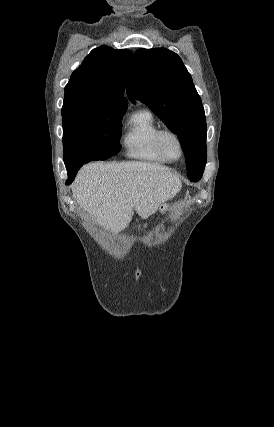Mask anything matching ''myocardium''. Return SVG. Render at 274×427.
I'll list each match as a JSON object with an SVG mask.
<instances>
[{
  "instance_id": "myocardium-1",
  "label": "myocardium",
  "mask_w": 274,
  "mask_h": 427,
  "mask_svg": "<svg viewBox=\"0 0 274 427\" xmlns=\"http://www.w3.org/2000/svg\"><path fill=\"white\" fill-rule=\"evenodd\" d=\"M167 135L173 136L174 138L177 139V141L179 143L181 152H180V157L177 160L171 158L165 151L164 137ZM156 146H157L159 152L161 153L162 157L168 162H171V163L180 162L185 157L186 150H185L184 141H183L182 137L179 135V133H177L175 130H173L171 128H164V129L159 130V132L157 133V136H156Z\"/></svg>"
}]
</instances>
